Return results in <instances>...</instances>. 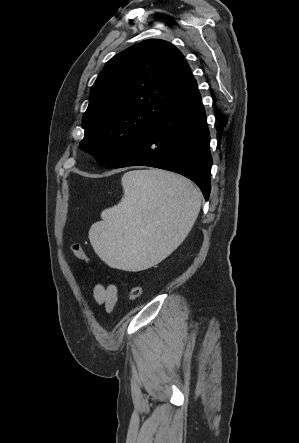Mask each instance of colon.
<instances>
[{
	"label": "colon",
	"instance_id": "obj_1",
	"mask_svg": "<svg viewBox=\"0 0 299 443\" xmlns=\"http://www.w3.org/2000/svg\"><path fill=\"white\" fill-rule=\"evenodd\" d=\"M71 251L74 254V256L77 257L78 259L85 262L90 261L87 253L83 250L80 244L73 243L71 246ZM141 294H142L141 287L139 285H134L130 290L129 297L131 300H137L140 298Z\"/></svg>",
	"mask_w": 299,
	"mask_h": 443
}]
</instances>
